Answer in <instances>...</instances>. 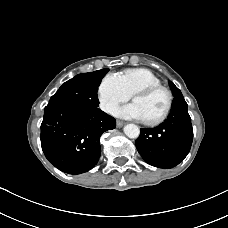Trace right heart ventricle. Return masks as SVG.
Wrapping results in <instances>:
<instances>
[{"label":"right heart ventricle","mask_w":228,"mask_h":228,"mask_svg":"<svg viewBox=\"0 0 228 228\" xmlns=\"http://www.w3.org/2000/svg\"><path fill=\"white\" fill-rule=\"evenodd\" d=\"M124 89L129 95L136 90L146 87L160 85L161 82L154 73L145 68H130L118 74Z\"/></svg>","instance_id":"e07e8e85"}]
</instances>
